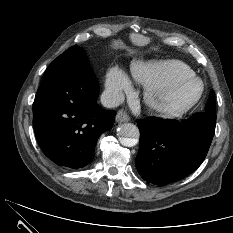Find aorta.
<instances>
[{"instance_id": "aorta-1", "label": "aorta", "mask_w": 233, "mask_h": 233, "mask_svg": "<svg viewBox=\"0 0 233 233\" xmlns=\"http://www.w3.org/2000/svg\"><path fill=\"white\" fill-rule=\"evenodd\" d=\"M119 141L123 146L132 147L138 142L139 129L132 123H123L118 128Z\"/></svg>"}]
</instances>
